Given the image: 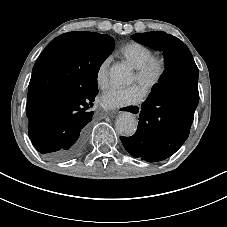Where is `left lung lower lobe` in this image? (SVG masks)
Listing matches in <instances>:
<instances>
[{
  "label": "left lung lower lobe",
  "instance_id": "0a47b994",
  "mask_svg": "<svg viewBox=\"0 0 227 227\" xmlns=\"http://www.w3.org/2000/svg\"><path fill=\"white\" fill-rule=\"evenodd\" d=\"M198 68L183 54L141 106L136 133L120 139L130 155L157 162L175 153L189 136L198 105Z\"/></svg>",
  "mask_w": 227,
  "mask_h": 227
}]
</instances>
